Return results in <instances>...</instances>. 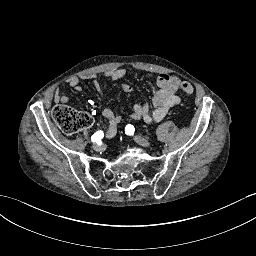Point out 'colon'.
I'll return each mask as SVG.
<instances>
[{"mask_svg": "<svg viewBox=\"0 0 256 256\" xmlns=\"http://www.w3.org/2000/svg\"><path fill=\"white\" fill-rule=\"evenodd\" d=\"M181 89L186 94L193 92L188 82H181ZM53 119L57 126L67 135H73L81 129L91 126L92 118L86 112L72 109L66 105H58L53 111Z\"/></svg>", "mask_w": 256, "mask_h": 256, "instance_id": "1", "label": "colon"}]
</instances>
